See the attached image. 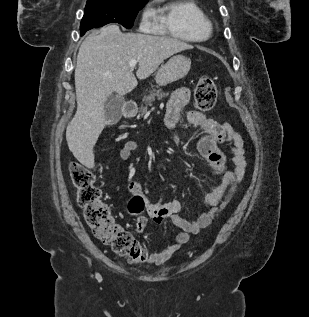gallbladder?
<instances>
[{"label": "gallbladder", "mask_w": 309, "mask_h": 317, "mask_svg": "<svg viewBox=\"0 0 309 317\" xmlns=\"http://www.w3.org/2000/svg\"><path fill=\"white\" fill-rule=\"evenodd\" d=\"M125 99L119 95H111L105 103V118L109 125L116 124L122 117V108Z\"/></svg>", "instance_id": "bac80fb5"}]
</instances>
